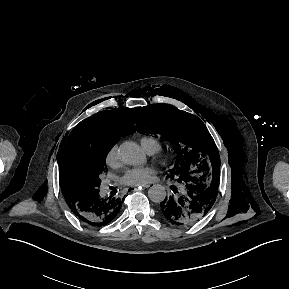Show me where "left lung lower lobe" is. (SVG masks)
I'll list each match as a JSON object with an SVG mask.
<instances>
[{"instance_id": "1", "label": "left lung lower lobe", "mask_w": 289, "mask_h": 289, "mask_svg": "<svg viewBox=\"0 0 289 289\" xmlns=\"http://www.w3.org/2000/svg\"><path fill=\"white\" fill-rule=\"evenodd\" d=\"M178 192L172 187L176 196H170L161 202L163 215L177 225H190L205 216L215 202L218 180L213 177L209 181L203 178H191L181 183Z\"/></svg>"}]
</instances>
